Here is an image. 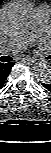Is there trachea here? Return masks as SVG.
<instances>
[{
    "label": "trachea",
    "mask_w": 51,
    "mask_h": 153,
    "mask_svg": "<svg viewBox=\"0 0 51 153\" xmlns=\"http://www.w3.org/2000/svg\"><path fill=\"white\" fill-rule=\"evenodd\" d=\"M0 60H1L2 62H10V61L12 60V58L9 57V56H1V57H0Z\"/></svg>",
    "instance_id": "trachea-1"
}]
</instances>
